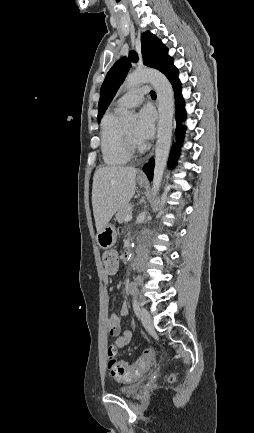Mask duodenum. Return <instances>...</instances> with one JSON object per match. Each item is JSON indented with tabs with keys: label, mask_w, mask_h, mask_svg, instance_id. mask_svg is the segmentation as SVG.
Segmentation results:
<instances>
[{
	"label": "duodenum",
	"mask_w": 254,
	"mask_h": 433,
	"mask_svg": "<svg viewBox=\"0 0 254 433\" xmlns=\"http://www.w3.org/2000/svg\"><path fill=\"white\" fill-rule=\"evenodd\" d=\"M126 249H127V251L130 250V242H127V243H126Z\"/></svg>",
	"instance_id": "duodenum-1"
}]
</instances>
